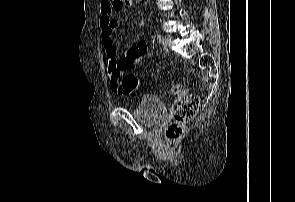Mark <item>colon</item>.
Returning a JSON list of instances; mask_svg holds the SVG:
<instances>
[{
  "mask_svg": "<svg viewBox=\"0 0 295 202\" xmlns=\"http://www.w3.org/2000/svg\"><path fill=\"white\" fill-rule=\"evenodd\" d=\"M116 8L130 5L132 0H111ZM143 65L147 64L146 60L142 61ZM139 84V85H138ZM146 86L145 82L133 74H125L122 77L121 89L129 94H136L138 90H143ZM182 90L181 85L176 84L170 90L171 94H178ZM199 106V97L197 95H189L180 99L174 110V120L167 126L165 136L170 141L178 140L184 133L185 124L191 121Z\"/></svg>",
  "mask_w": 295,
  "mask_h": 202,
  "instance_id": "1",
  "label": "colon"
}]
</instances>
